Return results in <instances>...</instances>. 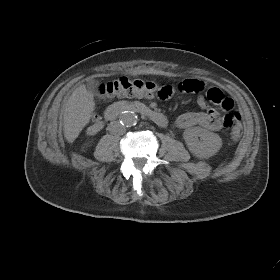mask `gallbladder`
<instances>
[{"label":"gallbladder","mask_w":280,"mask_h":280,"mask_svg":"<svg viewBox=\"0 0 280 280\" xmlns=\"http://www.w3.org/2000/svg\"><path fill=\"white\" fill-rule=\"evenodd\" d=\"M100 86V82L98 80H90L87 84V87L94 93L98 94V88Z\"/></svg>","instance_id":"obj_1"}]
</instances>
